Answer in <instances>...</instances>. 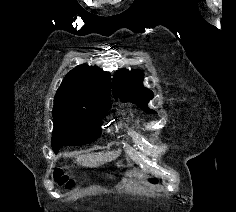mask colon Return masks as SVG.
Segmentation results:
<instances>
[{"label": "colon", "instance_id": "colon-1", "mask_svg": "<svg viewBox=\"0 0 236 212\" xmlns=\"http://www.w3.org/2000/svg\"><path fill=\"white\" fill-rule=\"evenodd\" d=\"M54 178L60 186H64L66 188H70L73 184L72 181L68 177L63 175L60 170H55Z\"/></svg>", "mask_w": 236, "mask_h": 212}]
</instances>
